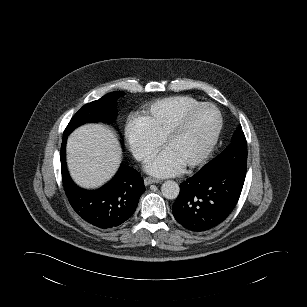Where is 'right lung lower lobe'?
<instances>
[{
    "mask_svg": "<svg viewBox=\"0 0 307 307\" xmlns=\"http://www.w3.org/2000/svg\"><path fill=\"white\" fill-rule=\"evenodd\" d=\"M67 136L63 135L61 146V171L68 200L88 223L110 229L127 221L136 210L141 194L145 191L140 173L125 164L120 166L114 178L102 188L85 190L78 187L69 176L65 161Z\"/></svg>",
    "mask_w": 307,
    "mask_h": 307,
    "instance_id": "obj_1",
    "label": "right lung lower lobe"
}]
</instances>
